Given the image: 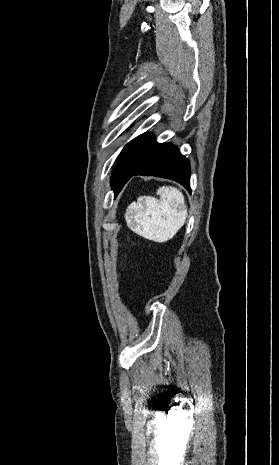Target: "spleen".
Segmentation results:
<instances>
[{
  "mask_svg": "<svg viewBox=\"0 0 279 465\" xmlns=\"http://www.w3.org/2000/svg\"><path fill=\"white\" fill-rule=\"evenodd\" d=\"M160 200L139 197L126 210L127 226L136 234L156 242H166L181 229L187 218L184 196L175 187L157 190Z\"/></svg>",
  "mask_w": 279,
  "mask_h": 465,
  "instance_id": "1",
  "label": "spleen"
}]
</instances>
